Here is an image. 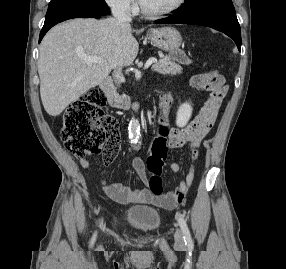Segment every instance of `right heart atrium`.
I'll return each mask as SVG.
<instances>
[{"label": "right heart atrium", "mask_w": 286, "mask_h": 269, "mask_svg": "<svg viewBox=\"0 0 286 269\" xmlns=\"http://www.w3.org/2000/svg\"><path fill=\"white\" fill-rule=\"evenodd\" d=\"M105 2L112 10L123 15H132L136 11L135 0H105Z\"/></svg>", "instance_id": "1"}]
</instances>
